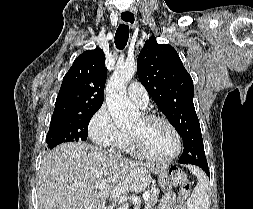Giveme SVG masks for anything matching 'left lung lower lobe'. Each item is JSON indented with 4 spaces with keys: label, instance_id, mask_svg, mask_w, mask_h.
Returning <instances> with one entry per match:
<instances>
[{
    "label": "left lung lower lobe",
    "instance_id": "0a47b994",
    "mask_svg": "<svg viewBox=\"0 0 253 209\" xmlns=\"http://www.w3.org/2000/svg\"><path fill=\"white\" fill-rule=\"evenodd\" d=\"M195 165H197L200 168H202L205 171V173L207 175H209V169H208V164H207L206 160H204V161H197Z\"/></svg>",
    "mask_w": 253,
    "mask_h": 209
}]
</instances>
